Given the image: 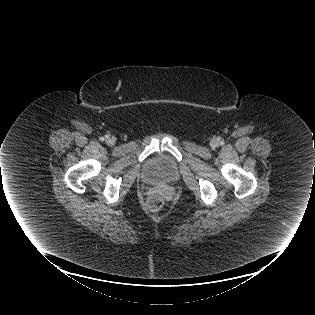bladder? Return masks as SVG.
I'll list each match as a JSON object with an SVG mask.
<instances>
[{"label":"bladder","instance_id":"31cf9c89","mask_svg":"<svg viewBox=\"0 0 315 315\" xmlns=\"http://www.w3.org/2000/svg\"><path fill=\"white\" fill-rule=\"evenodd\" d=\"M143 175L148 182H171L177 176V167L170 159L160 156L147 164Z\"/></svg>","mask_w":315,"mask_h":315}]
</instances>
